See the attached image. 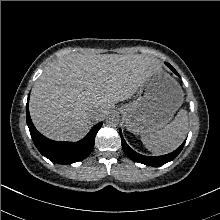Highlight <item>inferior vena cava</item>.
<instances>
[{
	"label": "inferior vena cava",
	"instance_id": "obj_1",
	"mask_svg": "<svg viewBox=\"0 0 220 220\" xmlns=\"http://www.w3.org/2000/svg\"><path fill=\"white\" fill-rule=\"evenodd\" d=\"M91 114H92V116H95V115H97L98 113H97V111L93 110V111L91 112Z\"/></svg>",
	"mask_w": 220,
	"mask_h": 220
}]
</instances>
